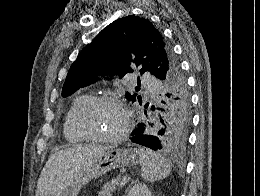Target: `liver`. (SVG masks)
<instances>
[{
  "instance_id": "6515ba94",
  "label": "liver",
  "mask_w": 260,
  "mask_h": 196,
  "mask_svg": "<svg viewBox=\"0 0 260 196\" xmlns=\"http://www.w3.org/2000/svg\"><path fill=\"white\" fill-rule=\"evenodd\" d=\"M108 146L80 144L50 156L37 182L35 196H60L76 178L90 168L95 158L105 154Z\"/></svg>"
}]
</instances>
